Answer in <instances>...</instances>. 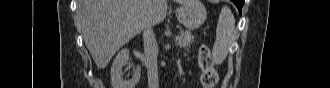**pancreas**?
<instances>
[{
	"label": "pancreas",
	"instance_id": "pancreas-1",
	"mask_svg": "<svg viewBox=\"0 0 330 88\" xmlns=\"http://www.w3.org/2000/svg\"><path fill=\"white\" fill-rule=\"evenodd\" d=\"M194 36L191 34L190 31L188 30H182L180 32V39L177 42V44L179 45L180 48H187L191 45V43L193 42Z\"/></svg>",
	"mask_w": 330,
	"mask_h": 88
}]
</instances>
